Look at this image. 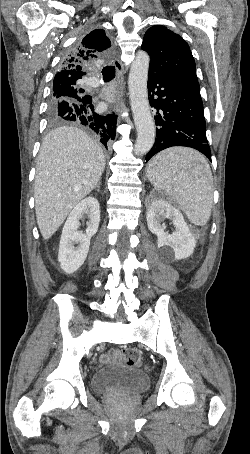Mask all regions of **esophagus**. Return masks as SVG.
Instances as JSON below:
<instances>
[{
	"mask_svg": "<svg viewBox=\"0 0 250 454\" xmlns=\"http://www.w3.org/2000/svg\"><path fill=\"white\" fill-rule=\"evenodd\" d=\"M117 70V80H118V98L113 102L112 108L115 112L120 111V99L119 97L123 94L124 91V68L119 59L115 62Z\"/></svg>",
	"mask_w": 250,
	"mask_h": 454,
	"instance_id": "34e87169",
	"label": "esophagus"
}]
</instances>
